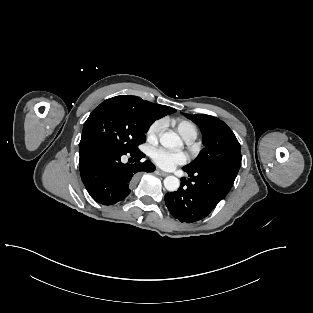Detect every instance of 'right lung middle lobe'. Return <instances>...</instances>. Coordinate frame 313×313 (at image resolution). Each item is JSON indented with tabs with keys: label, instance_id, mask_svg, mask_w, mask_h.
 Here are the masks:
<instances>
[{
	"label": "right lung middle lobe",
	"instance_id": "1",
	"mask_svg": "<svg viewBox=\"0 0 313 313\" xmlns=\"http://www.w3.org/2000/svg\"><path fill=\"white\" fill-rule=\"evenodd\" d=\"M155 119L141 106L113 97L95 108L84 123L80 148L93 144L113 146L130 153L146 141Z\"/></svg>",
	"mask_w": 313,
	"mask_h": 313
}]
</instances>
